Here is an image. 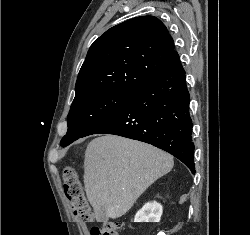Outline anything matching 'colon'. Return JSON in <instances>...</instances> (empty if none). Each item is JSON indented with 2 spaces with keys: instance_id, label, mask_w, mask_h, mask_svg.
Here are the masks:
<instances>
[{
  "instance_id": "obj_1",
  "label": "colon",
  "mask_w": 250,
  "mask_h": 235,
  "mask_svg": "<svg viewBox=\"0 0 250 235\" xmlns=\"http://www.w3.org/2000/svg\"><path fill=\"white\" fill-rule=\"evenodd\" d=\"M64 192L70 203L73 215L79 221L89 225L94 217L85 197L78 171L70 166L63 169ZM121 224L117 221H106L91 227V235H120Z\"/></svg>"
}]
</instances>
